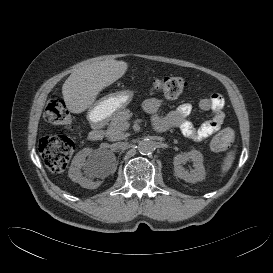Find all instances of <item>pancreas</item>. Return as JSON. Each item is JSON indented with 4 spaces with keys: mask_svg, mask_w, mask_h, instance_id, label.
Masks as SVG:
<instances>
[{
    "mask_svg": "<svg viewBox=\"0 0 273 273\" xmlns=\"http://www.w3.org/2000/svg\"><path fill=\"white\" fill-rule=\"evenodd\" d=\"M131 117L129 109H123L116 113L112 118L106 130V137L110 141L125 139L128 134L124 131L128 128V121Z\"/></svg>",
    "mask_w": 273,
    "mask_h": 273,
    "instance_id": "obj_1",
    "label": "pancreas"
}]
</instances>
